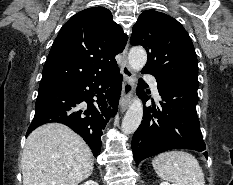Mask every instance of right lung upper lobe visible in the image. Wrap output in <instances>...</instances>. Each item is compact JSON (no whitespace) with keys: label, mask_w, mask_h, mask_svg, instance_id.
I'll list each match as a JSON object with an SVG mask.
<instances>
[{"label":"right lung upper lobe","mask_w":233,"mask_h":185,"mask_svg":"<svg viewBox=\"0 0 233 185\" xmlns=\"http://www.w3.org/2000/svg\"><path fill=\"white\" fill-rule=\"evenodd\" d=\"M127 36L105 7L82 10L63 25L45 62L40 87L105 74L118 67L115 56Z\"/></svg>","instance_id":"cb5924a9"}]
</instances>
